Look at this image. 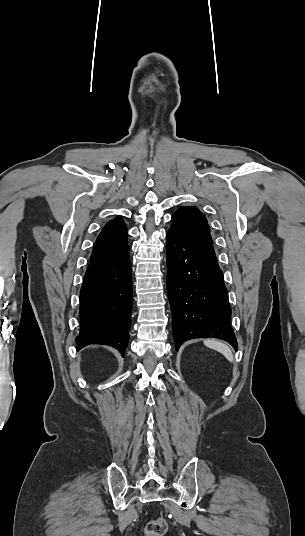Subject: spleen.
Listing matches in <instances>:
<instances>
[{
    "label": "spleen",
    "instance_id": "spleen-1",
    "mask_svg": "<svg viewBox=\"0 0 305 536\" xmlns=\"http://www.w3.org/2000/svg\"><path fill=\"white\" fill-rule=\"evenodd\" d=\"M205 346L207 348H211V350H217V352H220V354H223L229 362H233V354L231 350H229L228 346L226 344H222V342H217V340H205L204 342Z\"/></svg>",
    "mask_w": 305,
    "mask_h": 536
}]
</instances>
